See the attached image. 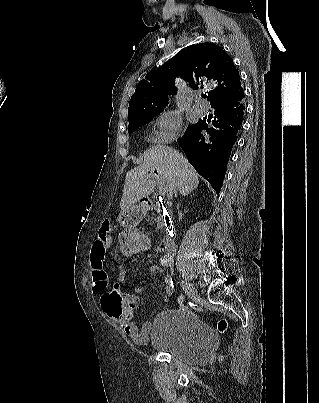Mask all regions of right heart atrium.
Instances as JSON below:
<instances>
[{"label": "right heart atrium", "instance_id": "1", "mask_svg": "<svg viewBox=\"0 0 319 403\" xmlns=\"http://www.w3.org/2000/svg\"><path fill=\"white\" fill-rule=\"evenodd\" d=\"M181 118L174 110H163L156 115L153 121V142L167 144L177 139L181 132Z\"/></svg>", "mask_w": 319, "mask_h": 403}]
</instances>
